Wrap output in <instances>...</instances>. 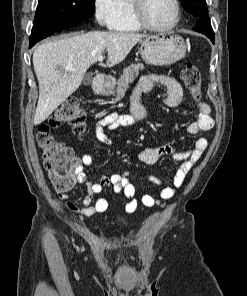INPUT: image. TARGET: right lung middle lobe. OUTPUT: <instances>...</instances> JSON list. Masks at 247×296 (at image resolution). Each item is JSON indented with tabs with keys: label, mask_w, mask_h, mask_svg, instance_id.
<instances>
[{
	"label": "right lung middle lobe",
	"mask_w": 247,
	"mask_h": 296,
	"mask_svg": "<svg viewBox=\"0 0 247 296\" xmlns=\"http://www.w3.org/2000/svg\"><path fill=\"white\" fill-rule=\"evenodd\" d=\"M95 12V0H39L30 39L80 24Z\"/></svg>",
	"instance_id": "dd1d6c3e"
}]
</instances>
